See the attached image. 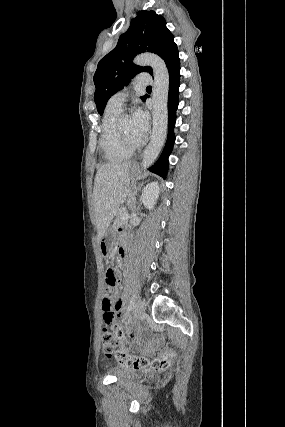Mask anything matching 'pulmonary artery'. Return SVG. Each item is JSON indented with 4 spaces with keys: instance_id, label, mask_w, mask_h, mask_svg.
<instances>
[{
    "instance_id": "pulmonary-artery-1",
    "label": "pulmonary artery",
    "mask_w": 285,
    "mask_h": 427,
    "mask_svg": "<svg viewBox=\"0 0 285 427\" xmlns=\"http://www.w3.org/2000/svg\"><path fill=\"white\" fill-rule=\"evenodd\" d=\"M136 83L139 85H142V86L150 85L152 83V78L147 73L140 74L136 77ZM127 96H128V92L126 89L120 90V91L114 93L110 97L109 103L114 105V106L122 108Z\"/></svg>"
}]
</instances>
